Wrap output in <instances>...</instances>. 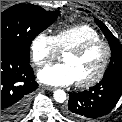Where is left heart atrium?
<instances>
[{"label":"left heart atrium","instance_id":"obj_1","mask_svg":"<svg viewBox=\"0 0 122 122\" xmlns=\"http://www.w3.org/2000/svg\"><path fill=\"white\" fill-rule=\"evenodd\" d=\"M39 80L47 85L66 86L76 82L72 68L65 63L52 64L38 72Z\"/></svg>","mask_w":122,"mask_h":122}]
</instances>
